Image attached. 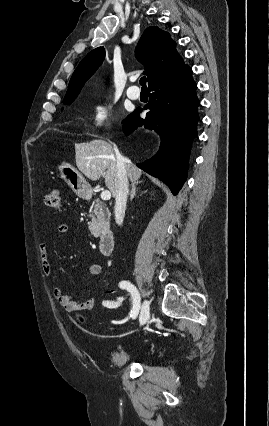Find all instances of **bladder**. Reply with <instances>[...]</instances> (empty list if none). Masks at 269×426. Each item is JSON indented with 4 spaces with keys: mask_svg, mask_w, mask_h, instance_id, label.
<instances>
[{
    "mask_svg": "<svg viewBox=\"0 0 269 426\" xmlns=\"http://www.w3.org/2000/svg\"><path fill=\"white\" fill-rule=\"evenodd\" d=\"M132 358L133 354L128 350L113 349L108 354V362L114 367L123 366L130 362Z\"/></svg>",
    "mask_w": 269,
    "mask_h": 426,
    "instance_id": "31cf9c89",
    "label": "bladder"
}]
</instances>
